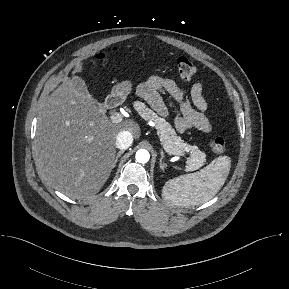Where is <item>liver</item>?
<instances>
[{
	"instance_id": "6515ba94",
	"label": "liver",
	"mask_w": 289,
	"mask_h": 289,
	"mask_svg": "<svg viewBox=\"0 0 289 289\" xmlns=\"http://www.w3.org/2000/svg\"><path fill=\"white\" fill-rule=\"evenodd\" d=\"M76 72H82V64L76 65ZM122 130L140 137L136 122L112 123L88 93L76 89L72 79H64L38 118L34 154L39 174L69 198L92 197L111 174Z\"/></svg>"
}]
</instances>
